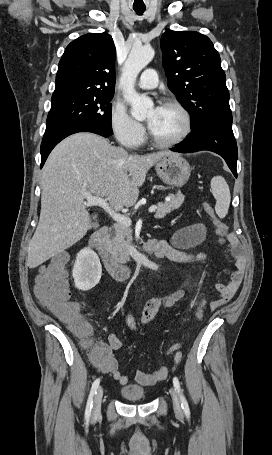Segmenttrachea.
I'll return each mask as SVG.
<instances>
[{
  "mask_svg": "<svg viewBox=\"0 0 272 455\" xmlns=\"http://www.w3.org/2000/svg\"><path fill=\"white\" fill-rule=\"evenodd\" d=\"M134 10L138 15H142L146 8H134Z\"/></svg>",
  "mask_w": 272,
  "mask_h": 455,
  "instance_id": "trachea-1",
  "label": "trachea"
}]
</instances>
